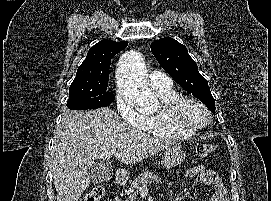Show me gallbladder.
<instances>
[{"label":"gallbladder","mask_w":271,"mask_h":201,"mask_svg":"<svg viewBox=\"0 0 271 201\" xmlns=\"http://www.w3.org/2000/svg\"><path fill=\"white\" fill-rule=\"evenodd\" d=\"M112 166L108 161L94 163L88 169V174L92 183L98 184L108 181L112 177Z\"/></svg>","instance_id":"obj_1"}]
</instances>
